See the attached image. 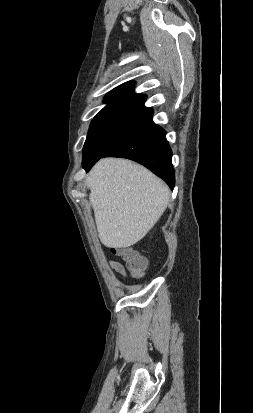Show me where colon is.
Segmentation results:
<instances>
[{
	"label": "colon",
	"instance_id": "1",
	"mask_svg": "<svg viewBox=\"0 0 253 413\" xmlns=\"http://www.w3.org/2000/svg\"><path fill=\"white\" fill-rule=\"evenodd\" d=\"M113 254L119 255L126 263L128 271L137 278L144 275L146 270V260L137 252L130 248H112Z\"/></svg>",
	"mask_w": 253,
	"mask_h": 413
}]
</instances>
